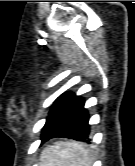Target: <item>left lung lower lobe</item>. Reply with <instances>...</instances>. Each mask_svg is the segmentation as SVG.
Returning <instances> with one entry per match:
<instances>
[{"instance_id":"1","label":"left lung lower lobe","mask_w":135,"mask_h":166,"mask_svg":"<svg viewBox=\"0 0 135 166\" xmlns=\"http://www.w3.org/2000/svg\"><path fill=\"white\" fill-rule=\"evenodd\" d=\"M85 100L70 93L51 110L42 130V142L53 137H65L90 142L89 114Z\"/></svg>"}]
</instances>
